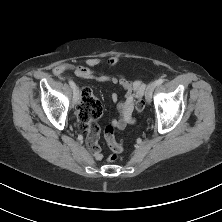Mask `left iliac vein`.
Listing matches in <instances>:
<instances>
[{
    "label": "left iliac vein",
    "mask_w": 222,
    "mask_h": 222,
    "mask_svg": "<svg viewBox=\"0 0 222 222\" xmlns=\"http://www.w3.org/2000/svg\"><path fill=\"white\" fill-rule=\"evenodd\" d=\"M156 88V83L155 82H151L148 86H147V89H146V92H145V99L148 103L151 102V99H152V95H153V91L154 89Z\"/></svg>",
    "instance_id": "1"
}]
</instances>
